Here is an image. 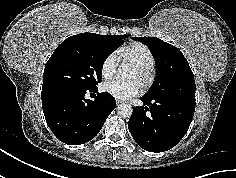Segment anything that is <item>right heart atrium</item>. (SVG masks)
I'll use <instances>...</instances> for the list:
<instances>
[{"mask_svg":"<svg viewBox=\"0 0 236 178\" xmlns=\"http://www.w3.org/2000/svg\"><path fill=\"white\" fill-rule=\"evenodd\" d=\"M118 58L114 53L108 54L102 61L100 71L105 80L111 79L117 69Z\"/></svg>","mask_w":236,"mask_h":178,"instance_id":"d8ad5b80","label":"right heart atrium"}]
</instances>
